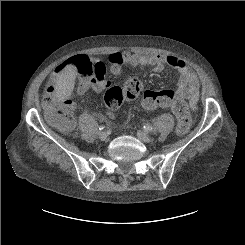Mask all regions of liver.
Masks as SVG:
<instances>
[{"label":"liver","instance_id":"1","mask_svg":"<svg viewBox=\"0 0 245 245\" xmlns=\"http://www.w3.org/2000/svg\"><path fill=\"white\" fill-rule=\"evenodd\" d=\"M76 76V69L73 66L67 67L60 75L58 89L56 91L57 98L68 96L74 87V79Z\"/></svg>","mask_w":245,"mask_h":245}]
</instances>
